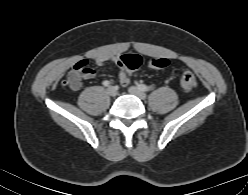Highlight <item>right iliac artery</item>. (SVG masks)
I'll return each instance as SVG.
<instances>
[{"instance_id": "82829eb1", "label": "right iliac artery", "mask_w": 248, "mask_h": 195, "mask_svg": "<svg viewBox=\"0 0 248 195\" xmlns=\"http://www.w3.org/2000/svg\"><path fill=\"white\" fill-rule=\"evenodd\" d=\"M109 84H110L109 81H107V80L103 81V85H104V86L107 87V86H109Z\"/></svg>"}]
</instances>
